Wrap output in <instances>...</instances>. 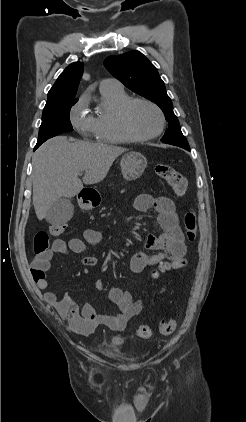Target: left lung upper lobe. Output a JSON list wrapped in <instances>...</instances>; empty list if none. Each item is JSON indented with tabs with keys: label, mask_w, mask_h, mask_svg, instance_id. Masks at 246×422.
I'll return each mask as SVG.
<instances>
[{
	"label": "left lung upper lobe",
	"mask_w": 246,
	"mask_h": 422,
	"mask_svg": "<svg viewBox=\"0 0 246 422\" xmlns=\"http://www.w3.org/2000/svg\"><path fill=\"white\" fill-rule=\"evenodd\" d=\"M104 65L127 88L156 103L162 109L169 124L161 141L189 150L188 142L173 112L171 99L155 66L139 51L109 56L105 59Z\"/></svg>",
	"instance_id": "1"
}]
</instances>
